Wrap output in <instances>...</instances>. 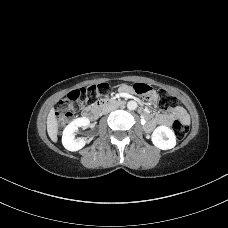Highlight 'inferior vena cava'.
<instances>
[{"mask_svg":"<svg viewBox=\"0 0 228 228\" xmlns=\"http://www.w3.org/2000/svg\"><path fill=\"white\" fill-rule=\"evenodd\" d=\"M116 108H117L116 106L107 107L103 110V113L107 114V113L111 112L112 110H115Z\"/></svg>","mask_w":228,"mask_h":228,"instance_id":"obj_1","label":"inferior vena cava"}]
</instances>
